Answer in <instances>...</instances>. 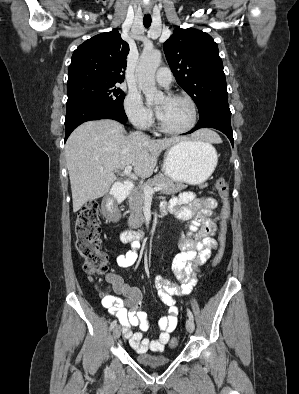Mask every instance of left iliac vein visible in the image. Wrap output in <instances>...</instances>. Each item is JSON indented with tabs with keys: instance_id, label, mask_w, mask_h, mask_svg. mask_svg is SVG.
<instances>
[{
	"instance_id": "left-iliac-vein-1",
	"label": "left iliac vein",
	"mask_w": 299,
	"mask_h": 394,
	"mask_svg": "<svg viewBox=\"0 0 299 394\" xmlns=\"http://www.w3.org/2000/svg\"><path fill=\"white\" fill-rule=\"evenodd\" d=\"M186 329L189 333H192L195 329V324L190 318L186 320Z\"/></svg>"
}]
</instances>
